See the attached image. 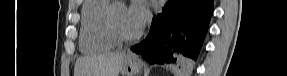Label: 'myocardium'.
Returning <instances> with one entry per match:
<instances>
[{
  "label": "myocardium",
  "instance_id": "f54148a6",
  "mask_svg": "<svg viewBox=\"0 0 287 76\" xmlns=\"http://www.w3.org/2000/svg\"><path fill=\"white\" fill-rule=\"evenodd\" d=\"M123 5L121 2L114 3L108 10L106 16V27L109 33L113 36L116 42H131L139 39L142 35V30L136 33L129 34L124 32L118 25L116 20V7Z\"/></svg>",
  "mask_w": 287,
  "mask_h": 76
}]
</instances>
